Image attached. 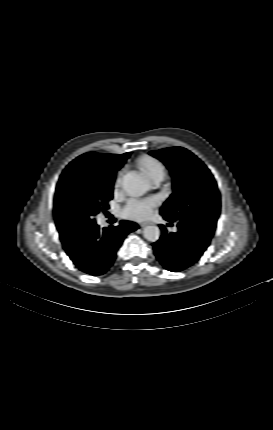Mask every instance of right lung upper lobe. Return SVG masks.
<instances>
[{
	"instance_id": "cb5924a9",
	"label": "right lung upper lobe",
	"mask_w": 273,
	"mask_h": 430,
	"mask_svg": "<svg viewBox=\"0 0 273 430\" xmlns=\"http://www.w3.org/2000/svg\"><path fill=\"white\" fill-rule=\"evenodd\" d=\"M129 155L130 153L116 155L89 152L77 157L69 165L76 166L77 168L94 176H115V173L123 166ZM73 240L74 238L64 239L62 240V243L65 245L72 242Z\"/></svg>"
}]
</instances>
